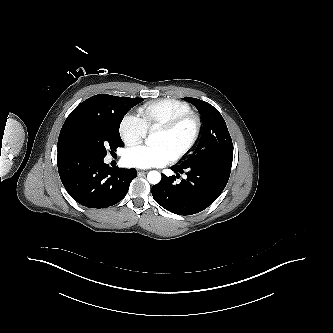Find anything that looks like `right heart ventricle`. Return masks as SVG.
Returning <instances> with one entry per match:
<instances>
[{"label": "right heart ventricle", "mask_w": 333, "mask_h": 333, "mask_svg": "<svg viewBox=\"0 0 333 333\" xmlns=\"http://www.w3.org/2000/svg\"><path fill=\"white\" fill-rule=\"evenodd\" d=\"M190 111V104L179 99L152 100L138 109L139 117L149 131Z\"/></svg>", "instance_id": "e07e8e85"}]
</instances>
